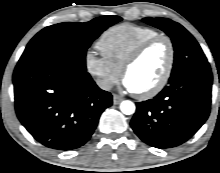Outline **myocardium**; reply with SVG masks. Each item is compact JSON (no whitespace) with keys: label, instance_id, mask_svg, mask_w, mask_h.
<instances>
[{"label":"myocardium","instance_id":"obj_1","mask_svg":"<svg viewBox=\"0 0 220 173\" xmlns=\"http://www.w3.org/2000/svg\"><path fill=\"white\" fill-rule=\"evenodd\" d=\"M159 41H165L168 45L169 48V59H168V64L165 69V72L163 76L160 78V80L149 90L145 92H135L134 95L141 100H147L150 98L155 97L158 95L168 84L175 65V58H176V52H175V46L172 41V39L163 34H158L156 36H153L143 43H141L128 57L126 62L123 65L122 68V77L125 78L127 72L130 70V68L144 55V53L154 44H156Z\"/></svg>","mask_w":220,"mask_h":173}]
</instances>
